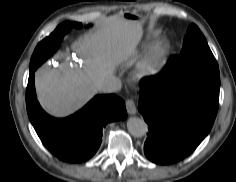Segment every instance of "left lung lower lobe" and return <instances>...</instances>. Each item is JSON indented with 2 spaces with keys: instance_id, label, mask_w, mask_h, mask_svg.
I'll return each mask as SVG.
<instances>
[{
  "instance_id": "obj_1",
  "label": "left lung lower lobe",
  "mask_w": 236,
  "mask_h": 182,
  "mask_svg": "<svg viewBox=\"0 0 236 182\" xmlns=\"http://www.w3.org/2000/svg\"><path fill=\"white\" fill-rule=\"evenodd\" d=\"M219 88L200 82L166 80V68L140 92L138 110L148 124L146 157L172 164L191 154L214 123Z\"/></svg>"
}]
</instances>
